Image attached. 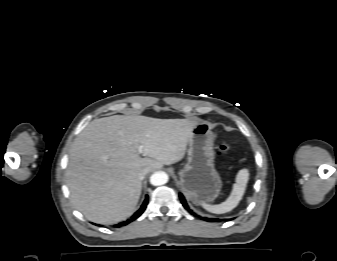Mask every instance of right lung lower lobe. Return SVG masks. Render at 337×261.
<instances>
[{
  "label": "right lung lower lobe",
  "instance_id": "1",
  "mask_svg": "<svg viewBox=\"0 0 337 261\" xmlns=\"http://www.w3.org/2000/svg\"><path fill=\"white\" fill-rule=\"evenodd\" d=\"M147 204H148V196H146V198H145V200H144L142 206L140 207V209H139L138 211H136V212L134 213V215L131 216L130 219H128V220H126V221L120 223L119 225L125 226V225L129 224L130 222H132L133 220L137 219V218L144 212V210H145Z\"/></svg>",
  "mask_w": 337,
  "mask_h": 261
}]
</instances>
